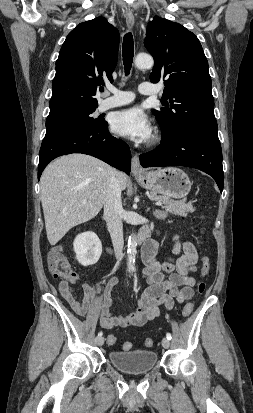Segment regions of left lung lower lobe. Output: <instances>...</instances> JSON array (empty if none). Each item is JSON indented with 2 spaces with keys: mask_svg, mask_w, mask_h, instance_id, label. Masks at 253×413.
Returning a JSON list of instances; mask_svg holds the SVG:
<instances>
[{
  "mask_svg": "<svg viewBox=\"0 0 253 413\" xmlns=\"http://www.w3.org/2000/svg\"><path fill=\"white\" fill-rule=\"evenodd\" d=\"M142 167L186 166L211 175L220 191L224 176L222 150L217 133L188 130L172 141L163 142L154 151L140 155Z\"/></svg>",
  "mask_w": 253,
  "mask_h": 413,
  "instance_id": "0a47b994",
  "label": "left lung lower lobe"
}]
</instances>
